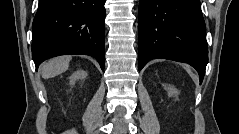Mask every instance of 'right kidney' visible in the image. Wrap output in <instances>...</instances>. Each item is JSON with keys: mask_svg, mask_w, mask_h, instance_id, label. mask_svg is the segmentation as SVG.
Here are the masks:
<instances>
[{"mask_svg": "<svg viewBox=\"0 0 239 134\" xmlns=\"http://www.w3.org/2000/svg\"><path fill=\"white\" fill-rule=\"evenodd\" d=\"M87 77V72L84 70H78L70 76V83H75L76 80L85 79Z\"/></svg>", "mask_w": 239, "mask_h": 134, "instance_id": "ca27d5eb", "label": "right kidney"}]
</instances>
